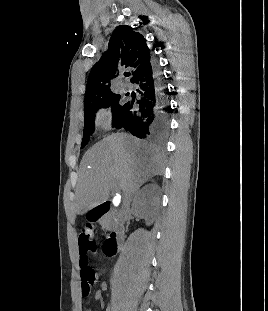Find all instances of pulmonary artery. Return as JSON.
<instances>
[{
  "label": "pulmonary artery",
  "mask_w": 268,
  "mask_h": 311,
  "mask_svg": "<svg viewBox=\"0 0 268 311\" xmlns=\"http://www.w3.org/2000/svg\"><path fill=\"white\" fill-rule=\"evenodd\" d=\"M121 89H122L123 91H126V90H128V86H127V85H122Z\"/></svg>",
  "instance_id": "e3ab8cb5"
}]
</instances>
